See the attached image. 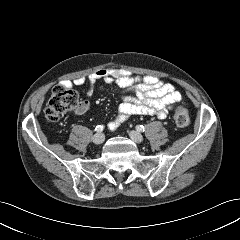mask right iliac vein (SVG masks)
I'll list each match as a JSON object with an SVG mask.
<instances>
[{
    "instance_id": "obj_1",
    "label": "right iliac vein",
    "mask_w": 240,
    "mask_h": 240,
    "mask_svg": "<svg viewBox=\"0 0 240 240\" xmlns=\"http://www.w3.org/2000/svg\"><path fill=\"white\" fill-rule=\"evenodd\" d=\"M104 140H105V136L103 133H96L92 138L93 143L97 145L102 144Z\"/></svg>"
}]
</instances>
